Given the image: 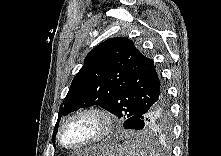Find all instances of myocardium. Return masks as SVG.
I'll list each match as a JSON object with an SVG mask.
<instances>
[{"instance_id":"obj_1","label":"myocardium","mask_w":221,"mask_h":156,"mask_svg":"<svg viewBox=\"0 0 221 156\" xmlns=\"http://www.w3.org/2000/svg\"><path fill=\"white\" fill-rule=\"evenodd\" d=\"M83 116L94 117L99 122L100 126L97 134L82 144L74 146L65 145L62 141V132L65 126L70 121ZM113 127H114V117L109 110L101 106H86L74 111L61 122L57 131V140L60 146L66 150H71V151L81 150L103 141L105 138H107L110 135V133L113 130Z\"/></svg>"}]
</instances>
